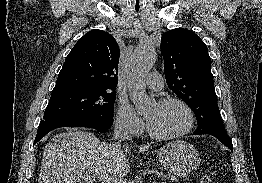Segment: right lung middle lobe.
I'll return each instance as SVG.
<instances>
[{"label":"right lung middle lobe","mask_w":262,"mask_h":183,"mask_svg":"<svg viewBox=\"0 0 262 183\" xmlns=\"http://www.w3.org/2000/svg\"><path fill=\"white\" fill-rule=\"evenodd\" d=\"M115 92L107 88H81L52 92L43 120L59 117L113 119Z\"/></svg>","instance_id":"right-lung-middle-lobe-1"}]
</instances>
